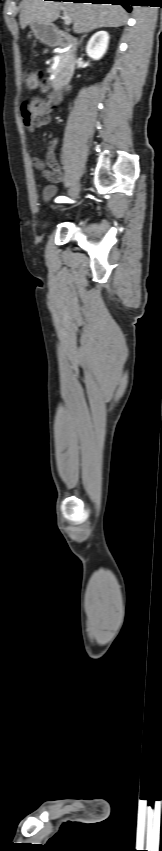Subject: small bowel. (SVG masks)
<instances>
[{"mask_svg":"<svg viewBox=\"0 0 162 851\" xmlns=\"http://www.w3.org/2000/svg\"><path fill=\"white\" fill-rule=\"evenodd\" d=\"M76 85V82L72 80L69 84L64 87L60 86L54 93H51V89H55L57 87L56 78L52 77L48 82V86L46 83L43 84L41 87V93L44 96H47V98L42 99L40 96H36L30 102L23 104L21 107V114L25 126L29 130L33 131L36 128L47 125L50 122L51 113L60 104L61 100L66 97V92H71ZM56 145L57 138L50 140V148H54ZM32 164L34 168L42 171L44 177L51 182H56L61 178L62 172L60 166L55 155L51 151L48 152L46 156V162L38 157H34L32 159ZM46 165L50 168V170L45 169Z\"/></svg>","mask_w":162,"mask_h":851,"instance_id":"obj_1","label":"small bowel"}]
</instances>
